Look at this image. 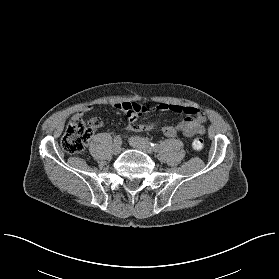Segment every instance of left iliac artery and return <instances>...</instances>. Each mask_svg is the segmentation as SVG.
I'll use <instances>...</instances> for the list:
<instances>
[{
	"label": "left iliac artery",
	"instance_id": "1",
	"mask_svg": "<svg viewBox=\"0 0 279 279\" xmlns=\"http://www.w3.org/2000/svg\"><path fill=\"white\" fill-rule=\"evenodd\" d=\"M150 146L155 152H158L161 149V146L157 143H150Z\"/></svg>",
	"mask_w": 279,
	"mask_h": 279
}]
</instances>
